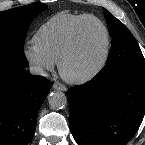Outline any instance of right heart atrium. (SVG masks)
I'll list each match as a JSON object with an SVG mask.
<instances>
[{"instance_id":"d8ad5b80","label":"right heart atrium","mask_w":145,"mask_h":145,"mask_svg":"<svg viewBox=\"0 0 145 145\" xmlns=\"http://www.w3.org/2000/svg\"><path fill=\"white\" fill-rule=\"evenodd\" d=\"M23 54L34 73L38 75H44L54 69L55 62L34 45L27 44L24 47Z\"/></svg>"}]
</instances>
